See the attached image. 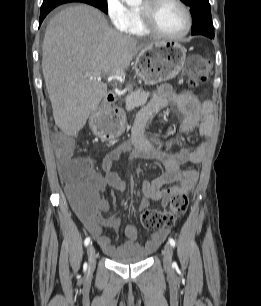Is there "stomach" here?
Instances as JSON below:
<instances>
[{"label": "stomach", "mask_w": 261, "mask_h": 306, "mask_svg": "<svg viewBox=\"0 0 261 306\" xmlns=\"http://www.w3.org/2000/svg\"><path fill=\"white\" fill-rule=\"evenodd\" d=\"M186 49L176 41H162L141 50L137 56V75L147 84H157L174 78L183 68ZM103 115L95 112L90 116V126L95 135L106 137L102 126Z\"/></svg>", "instance_id": "1"}]
</instances>
